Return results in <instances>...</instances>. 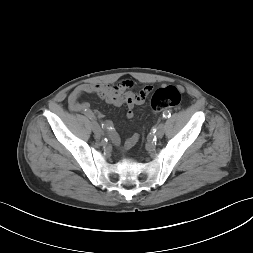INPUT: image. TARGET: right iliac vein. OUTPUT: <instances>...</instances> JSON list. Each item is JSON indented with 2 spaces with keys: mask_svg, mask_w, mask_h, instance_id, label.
<instances>
[{
  "mask_svg": "<svg viewBox=\"0 0 253 253\" xmlns=\"http://www.w3.org/2000/svg\"><path fill=\"white\" fill-rule=\"evenodd\" d=\"M92 130L97 136H101L102 131L99 124L96 121H92Z\"/></svg>",
  "mask_w": 253,
  "mask_h": 253,
  "instance_id": "1",
  "label": "right iliac vein"
}]
</instances>
